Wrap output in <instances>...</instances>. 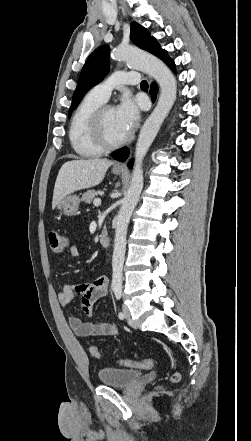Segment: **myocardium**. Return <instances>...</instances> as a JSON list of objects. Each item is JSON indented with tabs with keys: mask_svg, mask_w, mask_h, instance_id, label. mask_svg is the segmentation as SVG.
I'll return each mask as SVG.
<instances>
[{
	"mask_svg": "<svg viewBox=\"0 0 251 441\" xmlns=\"http://www.w3.org/2000/svg\"><path fill=\"white\" fill-rule=\"evenodd\" d=\"M112 108L111 105H101L92 115L90 122L91 134L96 144L103 150L116 149L130 140L131 135L127 134L123 138L117 141H111L108 139L104 129V116L107 109Z\"/></svg>",
	"mask_w": 251,
	"mask_h": 441,
	"instance_id": "1",
	"label": "myocardium"
}]
</instances>
